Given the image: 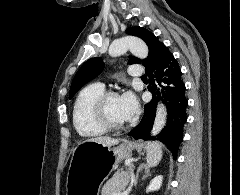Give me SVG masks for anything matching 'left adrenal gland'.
<instances>
[{
    "mask_svg": "<svg viewBox=\"0 0 240 195\" xmlns=\"http://www.w3.org/2000/svg\"><path fill=\"white\" fill-rule=\"evenodd\" d=\"M143 169H144L145 175H143L142 179H144V177H147V175H151V173L148 169L147 163H141V165H139V167H137L136 175L134 177V185H137L138 179H139V173H141V171H143Z\"/></svg>",
    "mask_w": 240,
    "mask_h": 195,
    "instance_id": "1",
    "label": "left adrenal gland"
}]
</instances>
